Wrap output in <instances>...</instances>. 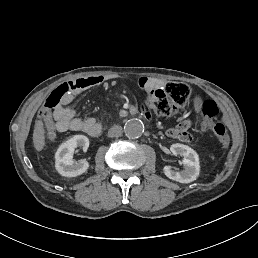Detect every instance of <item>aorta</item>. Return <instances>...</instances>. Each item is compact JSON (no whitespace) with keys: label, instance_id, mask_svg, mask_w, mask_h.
<instances>
[{"label":"aorta","instance_id":"762f6f07","mask_svg":"<svg viewBox=\"0 0 258 258\" xmlns=\"http://www.w3.org/2000/svg\"><path fill=\"white\" fill-rule=\"evenodd\" d=\"M144 132V124L140 119L133 118L124 125V133L128 138H139Z\"/></svg>","mask_w":258,"mask_h":258}]
</instances>
